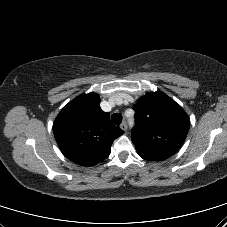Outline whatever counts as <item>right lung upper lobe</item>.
I'll use <instances>...</instances> for the list:
<instances>
[{
    "mask_svg": "<svg viewBox=\"0 0 227 227\" xmlns=\"http://www.w3.org/2000/svg\"><path fill=\"white\" fill-rule=\"evenodd\" d=\"M99 105L97 93L80 95L60 111L53 123L59 148L76 164L90 167L103 161L113 141L124 133Z\"/></svg>",
    "mask_w": 227,
    "mask_h": 227,
    "instance_id": "cb5924a9",
    "label": "right lung upper lobe"
}]
</instances>
